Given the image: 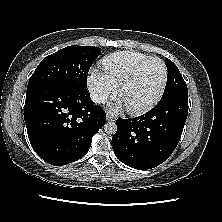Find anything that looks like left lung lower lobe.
<instances>
[{
    "instance_id": "1",
    "label": "left lung lower lobe",
    "mask_w": 222,
    "mask_h": 222,
    "mask_svg": "<svg viewBox=\"0 0 222 222\" xmlns=\"http://www.w3.org/2000/svg\"><path fill=\"white\" fill-rule=\"evenodd\" d=\"M188 114V94H172L146 114L117 119L112 138L116 157L136 169H151L175 150Z\"/></svg>"
}]
</instances>
